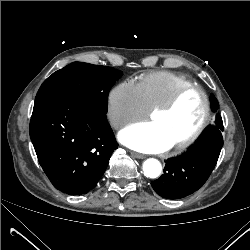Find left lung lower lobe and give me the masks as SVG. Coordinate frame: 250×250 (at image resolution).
<instances>
[{
    "label": "left lung lower lobe",
    "mask_w": 250,
    "mask_h": 250,
    "mask_svg": "<svg viewBox=\"0 0 250 250\" xmlns=\"http://www.w3.org/2000/svg\"><path fill=\"white\" fill-rule=\"evenodd\" d=\"M222 129L208 127L199 140L182 155L168 159L164 174L151 183L155 192L167 199L187 196L208 179L223 146Z\"/></svg>",
    "instance_id": "obj_1"
}]
</instances>
